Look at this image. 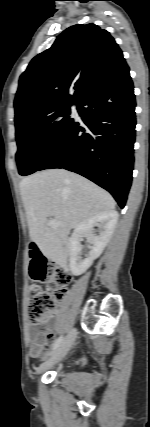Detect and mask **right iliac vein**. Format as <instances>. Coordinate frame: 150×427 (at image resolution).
I'll use <instances>...</instances> for the list:
<instances>
[{
    "instance_id": "obj_1",
    "label": "right iliac vein",
    "mask_w": 150,
    "mask_h": 427,
    "mask_svg": "<svg viewBox=\"0 0 150 427\" xmlns=\"http://www.w3.org/2000/svg\"><path fill=\"white\" fill-rule=\"evenodd\" d=\"M76 330L72 329L68 335L66 336V338L64 339V341L61 343V345L59 346V348L57 350H55L52 355L44 362L40 365V367L37 370L38 374L43 373L44 371H46L48 368H50L51 366H53L55 363H57L58 361H60L70 350V348L72 347L75 338H76Z\"/></svg>"
}]
</instances>
